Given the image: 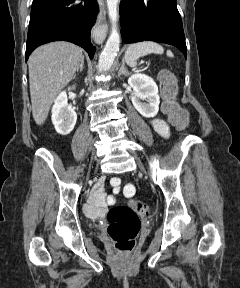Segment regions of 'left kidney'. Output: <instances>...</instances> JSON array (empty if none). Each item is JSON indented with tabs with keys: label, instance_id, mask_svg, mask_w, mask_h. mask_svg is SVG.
Instances as JSON below:
<instances>
[{
	"label": "left kidney",
	"instance_id": "left-kidney-1",
	"mask_svg": "<svg viewBox=\"0 0 240 288\" xmlns=\"http://www.w3.org/2000/svg\"><path fill=\"white\" fill-rule=\"evenodd\" d=\"M133 89L131 101L135 109L144 117H155L159 111L160 98L154 80L144 74H134L128 79ZM147 100L148 103L142 101Z\"/></svg>",
	"mask_w": 240,
	"mask_h": 288
}]
</instances>
